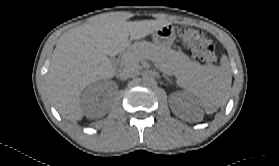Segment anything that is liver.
Listing matches in <instances>:
<instances>
[{
	"instance_id": "liver-1",
	"label": "liver",
	"mask_w": 279,
	"mask_h": 166,
	"mask_svg": "<svg viewBox=\"0 0 279 166\" xmlns=\"http://www.w3.org/2000/svg\"><path fill=\"white\" fill-rule=\"evenodd\" d=\"M168 24L167 20L126 21L121 14L111 13L64 33L53 51L46 80L58 112L66 119L81 120L82 90L115 75L108 56L118 55L132 40L142 39Z\"/></svg>"
}]
</instances>
